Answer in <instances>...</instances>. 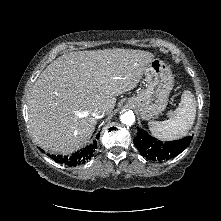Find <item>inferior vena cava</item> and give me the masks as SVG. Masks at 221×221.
Instances as JSON below:
<instances>
[{"instance_id": "602c4592", "label": "inferior vena cava", "mask_w": 221, "mask_h": 221, "mask_svg": "<svg viewBox=\"0 0 221 221\" xmlns=\"http://www.w3.org/2000/svg\"><path fill=\"white\" fill-rule=\"evenodd\" d=\"M105 113H106V110L103 107H96L92 111V115L95 118H102L105 115Z\"/></svg>"}]
</instances>
